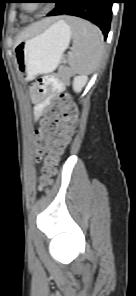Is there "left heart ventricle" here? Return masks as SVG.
Instances as JSON below:
<instances>
[{
	"label": "left heart ventricle",
	"instance_id": "1",
	"mask_svg": "<svg viewBox=\"0 0 136 296\" xmlns=\"http://www.w3.org/2000/svg\"><path fill=\"white\" fill-rule=\"evenodd\" d=\"M32 6V3H28V7Z\"/></svg>",
	"mask_w": 136,
	"mask_h": 296
}]
</instances>
